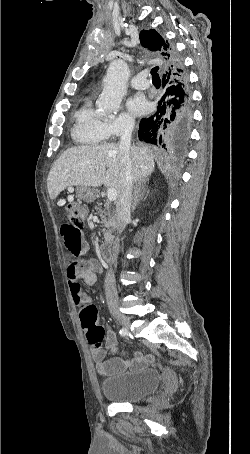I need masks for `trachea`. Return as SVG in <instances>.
I'll return each instance as SVG.
<instances>
[{"instance_id":"trachea-1","label":"trachea","mask_w":250,"mask_h":454,"mask_svg":"<svg viewBox=\"0 0 250 454\" xmlns=\"http://www.w3.org/2000/svg\"><path fill=\"white\" fill-rule=\"evenodd\" d=\"M158 70H159V67H158V66L154 67V68L151 70L152 81H153L154 84L160 82V77H159V75H158V73H157Z\"/></svg>"}]
</instances>
